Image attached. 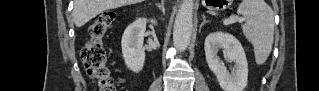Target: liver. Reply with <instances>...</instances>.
<instances>
[{
	"label": "liver",
	"mask_w": 319,
	"mask_h": 91,
	"mask_svg": "<svg viewBox=\"0 0 319 91\" xmlns=\"http://www.w3.org/2000/svg\"><path fill=\"white\" fill-rule=\"evenodd\" d=\"M142 1L143 0H74V22L77 27H81L106 10Z\"/></svg>",
	"instance_id": "liver-1"
}]
</instances>
